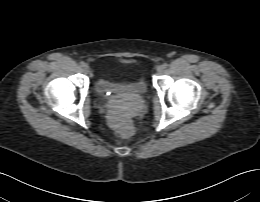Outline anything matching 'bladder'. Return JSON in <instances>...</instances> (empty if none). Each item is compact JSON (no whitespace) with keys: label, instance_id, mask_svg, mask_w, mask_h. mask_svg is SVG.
Instances as JSON below:
<instances>
[{"label":"bladder","instance_id":"obj_1","mask_svg":"<svg viewBox=\"0 0 260 202\" xmlns=\"http://www.w3.org/2000/svg\"><path fill=\"white\" fill-rule=\"evenodd\" d=\"M95 88L100 94L123 92L137 97H144L147 93V83L143 78L113 80L101 76L96 80Z\"/></svg>","mask_w":260,"mask_h":202}]
</instances>
